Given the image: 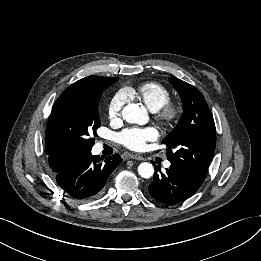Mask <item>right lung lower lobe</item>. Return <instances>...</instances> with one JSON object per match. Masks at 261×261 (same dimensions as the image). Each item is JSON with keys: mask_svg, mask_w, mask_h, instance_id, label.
<instances>
[{"mask_svg": "<svg viewBox=\"0 0 261 261\" xmlns=\"http://www.w3.org/2000/svg\"><path fill=\"white\" fill-rule=\"evenodd\" d=\"M119 154L105 159L86 152L60 172L55 180L63 194L76 201H90L98 197L111 173L121 163Z\"/></svg>", "mask_w": 261, "mask_h": 261, "instance_id": "98d812e1", "label": "right lung lower lobe"}]
</instances>
